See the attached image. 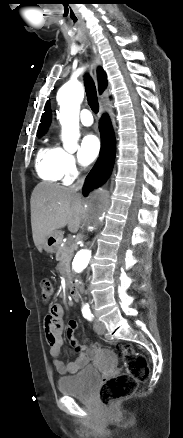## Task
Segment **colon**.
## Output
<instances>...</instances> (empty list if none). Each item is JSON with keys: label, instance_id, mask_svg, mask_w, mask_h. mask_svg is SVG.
Wrapping results in <instances>:
<instances>
[{"label": "colon", "instance_id": "1", "mask_svg": "<svg viewBox=\"0 0 183 438\" xmlns=\"http://www.w3.org/2000/svg\"><path fill=\"white\" fill-rule=\"evenodd\" d=\"M53 294V283L48 279L42 280V302L49 303ZM118 349L125 371L106 379L99 391L100 401L107 408H111L117 401L133 394L139 382L145 381L149 376V365L144 356L136 353L129 344H120Z\"/></svg>", "mask_w": 183, "mask_h": 438}]
</instances>
